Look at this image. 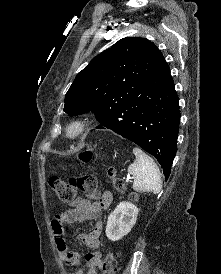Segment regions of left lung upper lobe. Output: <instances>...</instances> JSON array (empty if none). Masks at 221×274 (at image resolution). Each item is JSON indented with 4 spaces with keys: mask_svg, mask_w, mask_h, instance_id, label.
I'll return each instance as SVG.
<instances>
[{
    "mask_svg": "<svg viewBox=\"0 0 221 274\" xmlns=\"http://www.w3.org/2000/svg\"><path fill=\"white\" fill-rule=\"evenodd\" d=\"M164 61L148 39L123 38L78 73L66 93L63 111L69 116L92 111L99 118L137 96Z\"/></svg>",
    "mask_w": 221,
    "mask_h": 274,
    "instance_id": "obj_1",
    "label": "left lung upper lobe"
}]
</instances>
